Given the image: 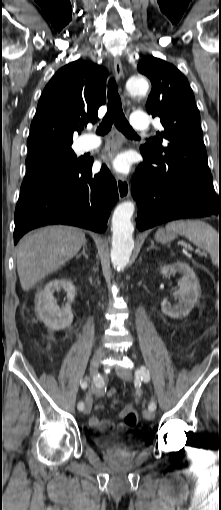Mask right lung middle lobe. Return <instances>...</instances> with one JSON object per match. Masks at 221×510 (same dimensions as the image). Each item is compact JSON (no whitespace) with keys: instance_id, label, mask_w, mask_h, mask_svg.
I'll return each instance as SVG.
<instances>
[{"instance_id":"obj_1","label":"right lung middle lobe","mask_w":221,"mask_h":510,"mask_svg":"<svg viewBox=\"0 0 221 510\" xmlns=\"http://www.w3.org/2000/svg\"><path fill=\"white\" fill-rule=\"evenodd\" d=\"M83 162L76 157L71 147L46 146L30 151L26 159L27 172L20 198L38 184L71 178Z\"/></svg>"}]
</instances>
